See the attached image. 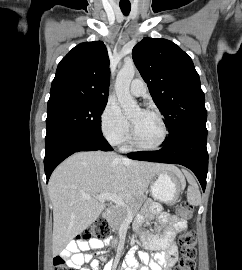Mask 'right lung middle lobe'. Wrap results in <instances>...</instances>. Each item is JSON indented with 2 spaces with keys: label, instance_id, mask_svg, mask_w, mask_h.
Masks as SVG:
<instances>
[{
  "label": "right lung middle lobe",
  "instance_id": "right-lung-middle-lobe-1",
  "mask_svg": "<svg viewBox=\"0 0 242 270\" xmlns=\"http://www.w3.org/2000/svg\"><path fill=\"white\" fill-rule=\"evenodd\" d=\"M107 101H66L47 106L46 139L62 132L103 136L101 114Z\"/></svg>",
  "mask_w": 242,
  "mask_h": 270
}]
</instances>
